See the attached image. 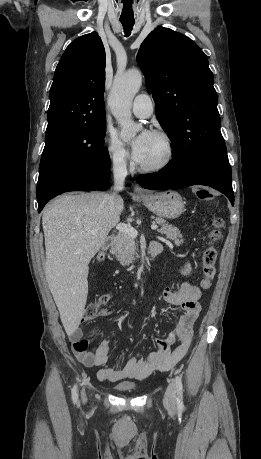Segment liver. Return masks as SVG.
Instances as JSON below:
<instances>
[{
    "label": "liver",
    "instance_id": "1",
    "mask_svg": "<svg viewBox=\"0 0 261 459\" xmlns=\"http://www.w3.org/2000/svg\"><path fill=\"white\" fill-rule=\"evenodd\" d=\"M108 198L103 192L65 194L43 212L46 281L68 336L78 329L84 315L89 262L124 208L113 213Z\"/></svg>",
    "mask_w": 261,
    "mask_h": 459
}]
</instances>
